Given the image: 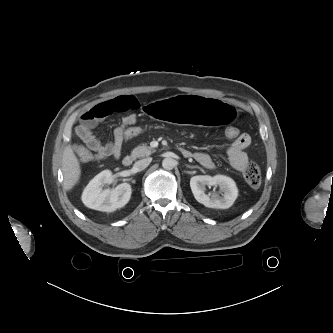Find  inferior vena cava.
I'll return each mask as SVG.
<instances>
[{
    "label": "inferior vena cava",
    "instance_id": "1",
    "mask_svg": "<svg viewBox=\"0 0 333 333\" xmlns=\"http://www.w3.org/2000/svg\"><path fill=\"white\" fill-rule=\"evenodd\" d=\"M151 161H152V158H145V159L139 160V161L135 162L134 168L137 171H142L151 163Z\"/></svg>",
    "mask_w": 333,
    "mask_h": 333
}]
</instances>
